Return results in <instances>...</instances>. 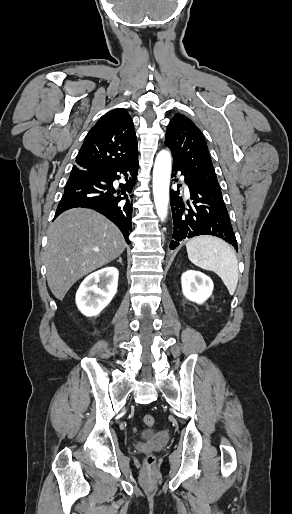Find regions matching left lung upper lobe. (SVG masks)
I'll use <instances>...</instances> for the list:
<instances>
[{
	"mask_svg": "<svg viewBox=\"0 0 292 514\" xmlns=\"http://www.w3.org/2000/svg\"><path fill=\"white\" fill-rule=\"evenodd\" d=\"M165 144L172 152L173 162L191 179L220 189L205 138L188 117L176 114L171 119Z\"/></svg>",
	"mask_w": 292,
	"mask_h": 514,
	"instance_id": "5c2ea615",
	"label": "left lung upper lobe"
}]
</instances>
